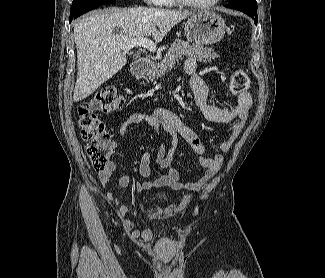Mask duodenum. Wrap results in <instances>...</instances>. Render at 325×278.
I'll return each instance as SVG.
<instances>
[{"mask_svg":"<svg viewBox=\"0 0 325 278\" xmlns=\"http://www.w3.org/2000/svg\"><path fill=\"white\" fill-rule=\"evenodd\" d=\"M151 67V61L147 58H139L133 65V74L137 77H142Z\"/></svg>","mask_w":325,"mask_h":278,"instance_id":"410a0bca","label":"duodenum"}]
</instances>
